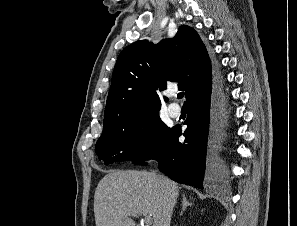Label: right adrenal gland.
<instances>
[{
    "label": "right adrenal gland",
    "instance_id": "1",
    "mask_svg": "<svg viewBox=\"0 0 297 226\" xmlns=\"http://www.w3.org/2000/svg\"><path fill=\"white\" fill-rule=\"evenodd\" d=\"M193 203H189V201L187 200V197L185 194L182 195V211L180 213V215L183 214V212L185 211V209L188 207V206H192Z\"/></svg>",
    "mask_w": 297,
    "mask_h": 226
}]
</instances>
